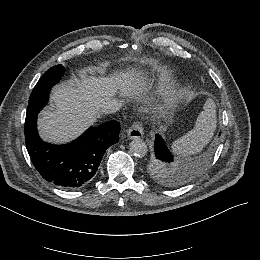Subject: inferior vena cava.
<instances>
[{"label": "inferior vena cava", "instance_id": "inferior-vena-cava-1", "mask_svg": "<svg viewBox=\"0 0 260 260\" xmlns=\"http://www.w3.org/2000/svg\"><path fill=\"white\" fill-rule=\"evenodd\" d=\"M123 103L116 98L110 99L102 104V110L105 114L116 113L122 107Z\"/></svg>", "mask_w": 260, "mask_h": 260}]
</instances>
